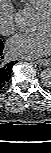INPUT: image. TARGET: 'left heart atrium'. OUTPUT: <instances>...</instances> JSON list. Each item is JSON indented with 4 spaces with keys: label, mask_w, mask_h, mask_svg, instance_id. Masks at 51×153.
<instances>
[{
    "label": "left heart atrium",
    "mask_w": 51,
    "mask_h": 153,
    "mask_svg": "<svg viewBox=\"0 0 51 153\" xmlns=\"http://www.w3.org/2000/svg\"><path fill=\"white\" fill-rule=\"evenodd\" d=\"M11 54L22 58H40L51 50V34L48 30L18 34L8 41Z\"/></svg>",
    "instance_id": "left-heart-atrium-1"
}]
</instances>
